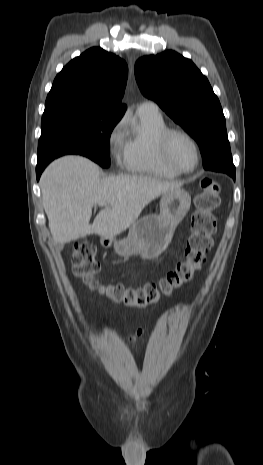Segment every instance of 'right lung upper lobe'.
I'll return each instance as SVG.
<instances>
[{"mask_svg":"<svg viewBox=\"0 0 263 465\" xmlns=\"http://www.w3.org/2000/svg\"><path fill=\"white\" fill-rule=\"evenodd\" d=\"M128 76L124 60L93 47L70 61L56 76L45 106L79 104L124 111L121 104Z\"/></svg>","mask_w":263,"mask_h":465,"instance_id":"cb5924a9","label":"right lung upper lobe"}]
</instances>
